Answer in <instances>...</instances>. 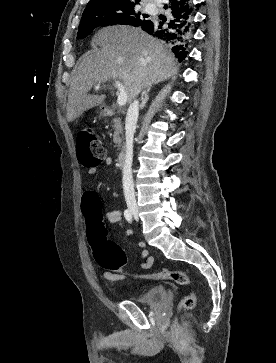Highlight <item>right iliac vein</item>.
I'll return each instance as SVG.
<instances>
[{
	"mask_svg": "<svg viewBox=\"0 0 276 363\" xmlns=\"http://www.w3.org/2000/svg\"><path fill=\"white\" fill-rule=\"evenodd\" d=\"M129 210L132 213V215L135 217V219H138V210L137 207L134 205L129 206Z\"/></svg>",
	"mask_w": 276,
	"mask_h": 363,
	"instance_id": "1",
	"label": "right iliac vein"
}]
</instances>
